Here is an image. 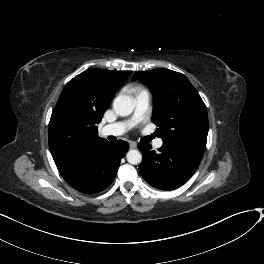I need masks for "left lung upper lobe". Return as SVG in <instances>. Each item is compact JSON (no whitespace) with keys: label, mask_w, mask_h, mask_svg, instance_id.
Here are the masks:
<instances>
[{"label":"left lung upper lobe","mask_w":264,"mask_h":264,"mask_svg":"<svg viewBox=\"0 0 264 264\" xmlns=\"http://www.w3.org/2000/svg\"><path fill=\"white\" fill-rule=\"evenodd\" d=\"M148 85L153 94L152 121L163 143L193 144L205 150L208 134L206 106L181 73L163 69L138 71L132 80Z\"/></svg>","instance_id":"obj_1"}]
</instances>
